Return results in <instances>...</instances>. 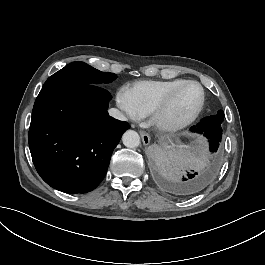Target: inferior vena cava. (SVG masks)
<instances>
[{
  "instance_id": "602c4592",
  "label": "inferior vena cava",
  "mask_w": 265,
  "mask_h": 265,
  "mask_svg": "<svg viewBox=\"0 0 265 265\" xmlns=\"http://www.w3.org/2000/svg\"><path fill=\"white\" fill-rule=\"evenodd\" d=\"M110 116L118 119L120 121H127V118L116 108H112L109 110Z\"/></svg>"
}]
</instances>
